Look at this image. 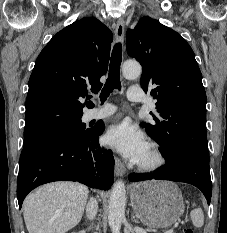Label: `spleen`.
I'll return each instance as SVG.
<instances>
[{
	"mask_svg": "<svg viewBox=\"0 0 227 233\" xmlns=\"http://www.w3.org/2000/svg\"><path fill=\"white\" fill-rule=\"evenodd\" d=\"M195 206V204H194ZM193 225L197 228H200L203 226L204 223V214L203 211L200 208H195L190 213Z\"/></svg>",
	"mask_w": 227,
	"mask_h": 233,
	"instance_id": "1",
	"label": "spleen"
}]
</instances>
